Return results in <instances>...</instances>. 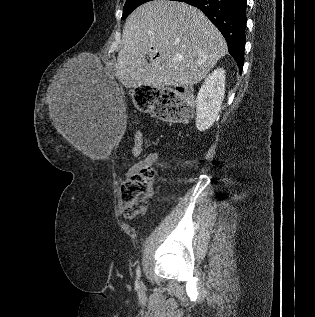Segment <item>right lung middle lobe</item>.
Listing matches in <instances>:
<instances>
[{
	"instance_id": "1",
	"label": "right lung middle lobe",
	"mask_w": 315,
	"mask_h": 317,
	"mask_svg": "<svg viewBox=\"0 0 315 317\" xmlns=\"http://www.w3.org/2000/svg\"><path fill=\"white\" fill-rule=\"evenodd\" d=\"M152 0H126L121 19H125L135 8Z\"/></svg>"
}]
</instances>
